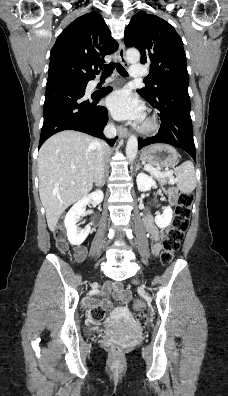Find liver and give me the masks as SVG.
<instances>
[{"mask_svg": "<svg viewBox=\"0 0 228 396\" xmlns=\"http://www.w3.org/2000/svg\"><path fill=\"white\" fill-rule=\"evenodd\" d=\"M97 149L95 138L72 130L53 135L40 148L39 194L51 231L61 214L92 189Z\"/></svg>", "mask_w": 228, "mask_h": 396, "instance_id": "1", "label": "liver"}]
</instances>
